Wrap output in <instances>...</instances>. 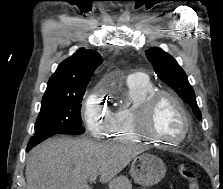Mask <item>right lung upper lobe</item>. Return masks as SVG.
<instances>
[{
  "label": "right lung upper lobe",
  "instance_id": "obj_1",
  "mask_svg": "<svg viewBox=\"0 0 223 189\" xmlns=\"http://www.w3.org/2000/svg\"><path fill=\"white\" fill-rule=\"evenodd\" d=\"M102 57L93 50L79 49L61 62L48 81L45 94L75 93L86 88Z\"/></svg>",
  "mask_w": 223,
  "mask_h": 189
}]
</instances>
